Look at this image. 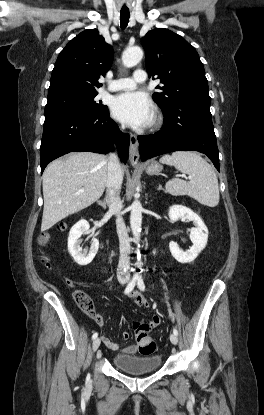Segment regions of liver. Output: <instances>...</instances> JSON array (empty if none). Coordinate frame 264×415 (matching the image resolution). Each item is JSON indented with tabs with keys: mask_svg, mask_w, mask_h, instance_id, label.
<instances>
[{
	"mask_svg": "<svg viewBox=\"0 0 264 415\" xmlns=\"http://www.w3.org/2000/svg\"><path fill=\"white\" fill-rule=\"evenodd\" d=\"M107 177L108 159L97 153L76 152L51 162L42 177L41 231L96 202L104 192Z\"/></svg>",
	"mask_w": 264,
	"mask_h": 415,
	"instance_id": "1",
	"label": "liver"
}]
</instances>
